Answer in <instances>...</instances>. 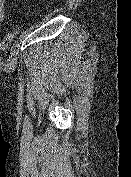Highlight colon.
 Listing matches in <instances>:
<instances>
[{"instance_id":"1","label":"colon","mask_w":131,"mask_h":177,"mask_svg":"<svg viewBox=\"0 0 131 177\" xmlns=\"http://www.w3.org/2000/svg\"><path fill=\"white\" fill-rule=\"evenodd\" d=\"M17 33V29H10L7 31V33L2 37L0 41L1 52L7 50L12 45Z\"/></svg>"}]
</instances>
